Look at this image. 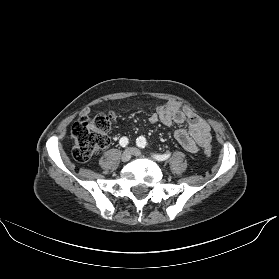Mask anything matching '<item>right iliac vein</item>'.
<instances>
[{
    "instance_id": "63e3f726",
    "label": "right iliac vein",
    "mask_w": 279,
    "mask_h": 279,
    "mask_svg": "<svg viewBox=\"0 0 279 279\" xmlns=\"http://www.w3.org/2000/svg\"><path fill=\"white\" fill-rule=\"evenodd\" d=\"M133 153H132V150L129 148V149H126L123 153H122V156H121V160L123 162H127L131 159Z\"/></svg>"
}]
</instances>
